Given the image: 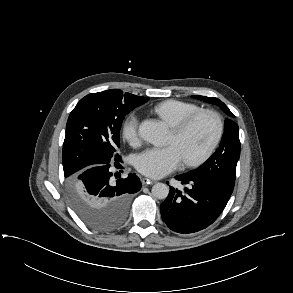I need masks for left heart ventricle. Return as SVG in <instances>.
Listing matches in <instances>:
<instances>
[{
    "mask_svg": "<svg viewBox=\"0 0 293 293\" xmlns=\"http://www.w3.org/2000/svg\"><path fill=\"white\" fill-rule=\"evenodd\" d=\"M215 132V122L211 117L199 118L183 135L176 136L170 131L167 144L175 145L182 158L199 154L209 144Z\"/></svg>",
    "mask_w": 293,
    "mask_h": 293,
    "instance_id": "obj_1",
    "label": "left heart ventricle"
}]
</instances>
